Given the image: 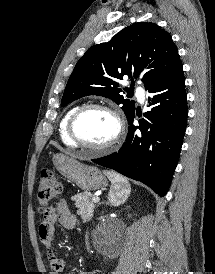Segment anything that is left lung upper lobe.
Wrapping results in <instances>:
<instances>
[{
	"instance_id": "left-lung-upper-lobe-1",
	"label": "left lung upper lobe",
	"mask_w": 215,
	"mask_h": 274,
	"mask_svg": "<svg viewBox=\"0 0 215 274\" xmlns=\"http://www.w3.org/2000/svg\"><path fill=\"white\" fill-rule=\"evenodd\" d=\"M180 66L177 47L168 32L155 23L130 25L109 42L92 46L80 58L67 82L61 106L98 95L122 104L128 118L135 111V102L120 94L123 90L119 80L127 75L133 87V78L141 79L146 89L165 80Z\"/></svg>"
}]
</instances>
